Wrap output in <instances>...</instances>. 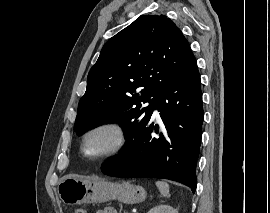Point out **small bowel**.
Returning a JSON list of instances; mask_svg holds the SVG:
<instances>
[{
	"label": "small bowel",
	"instance_id": "c3829d8e",
	"mask_svg": "<svg viewBox=\"0 0 270 213\" xmlns=\"http://www.w3.org/2000/svg\"><path fill=\"white\" fill-rule=\"evenodd\" d=\"M96 213H118L116 209L112 207H106L104 209L98 210Z\"/></svg>",
	"mask_w": 270,
	"mask_h": 213
}]
</instances>
